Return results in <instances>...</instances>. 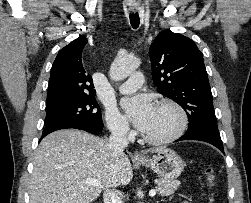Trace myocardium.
Here are the masks:
<instances>
[{"instance_id": "1", "label": "myocardium", "mask_w": 251, "mask_h": 203, "mask_svg": "<svg viewBox=\"0 0 251 203\" xmlns=\"http://www.w3.org/2000/svg\"><path fill=\"white\" fill-rule=\"evenodd\" d=\"M157 107H171L174 109L178 115L179 121L176 129L169 135L164 137H150L147 136L145 133H142V138L145 142L153 145H162V144H168L171 143L178 138H180L184 132L186 131V128L188 126V115L185 111V109L176 101L171 99H164L157 103Z\"/></svg>"}]
</instances>
